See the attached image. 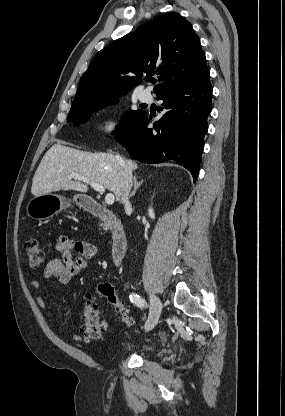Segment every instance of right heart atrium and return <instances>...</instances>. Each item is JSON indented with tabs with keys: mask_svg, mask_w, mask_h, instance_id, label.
<instances>
[{
	"mask_svg": "<svg viewBox=\"0 0 285 416\" xmlns=\"http://www.w3.org/2000/svg\"><path fill=\"white\" fill-rule=\"evenodd\" d=\"M116 119L112 114H105L99 126V135L101 137H106L110 135L116 128Z\"/></svg>",
	"mask_w": 285,
	"mask_h": 416,
	"instance_id": "1",
	"label": "right heart atrium"
}]
</instances>
